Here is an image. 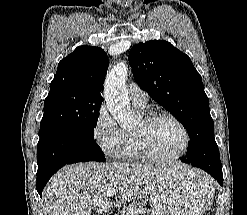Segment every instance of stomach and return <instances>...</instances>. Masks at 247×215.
Masks as SVG:
<instances>
[{
  "label": "stomach",
  "mask_w": 247,
  "mask_h": 215,
  "mask_svg": "<svg viewBox=\"0 0 247 215\" xmlns=\"http://www.w3.org/2000/svg\"><path fill=\"white\" fill-rule=\"evenodd\" d=\"M214 194L212 181L199 170L173 169L150 194L152 215H202Z\"/></svg>",
  "instance_id": "1"
}]
</instances>
